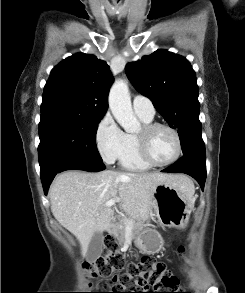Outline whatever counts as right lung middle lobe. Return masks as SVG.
Returning a JSON list of instances; mask_svg holds the SVG:
<instances>
[{"mask_svg":"<svg viewBox=\"0 0 245 293\" xmlns=\"http://www.w3.org/2000/svg\"><path fill=\"white\" fill-rule=\"evenodd\" d=\"M102 117L64 112L41 114L38 147L41 174L67 158L102 162L96 147V131Z\"/></svg>","mask_w":245,"mask_h":293,"instance_id":"1","label":"right lung middle lobe"}]
</instances>
